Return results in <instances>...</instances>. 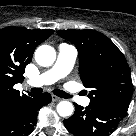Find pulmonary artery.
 <instances>
[{
    "label": "pulmonary artery",
    "instance_id": "e3ab8cb5",
    "mask_svg": "<svg viewBox=\"0 0 136 136\" xmlns=\"http://www.w3.org/2000/svg\"><path fill=\"white\" fill-rule=\"evenodd\" d=\"M76 58L77 50L75 47L65 43L61 44L59 46L55 64L37 78L30 80L28 84L34 87L53 84L69 74L73 68ZM73 99L84 106H87L90 103V99L87 97L73 96Z\"/></svg>",
    "mask_w": 136,
    "mask_h": 136
}]
</instances>
